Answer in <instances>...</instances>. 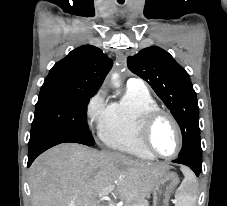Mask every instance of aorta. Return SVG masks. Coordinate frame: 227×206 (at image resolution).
<instances>
[{"label": "aorta", "mask_w": 227, "mask_h": 206, "mask_svg": "<svg viewBox=\"0 0 227 206\" xmlns=\"http://www.w3.org/2000/svg\"><path fill=\"white\" fill-rule=\"evenodd\" d=\"M118 74L117 73H114L113 75H112V80H113V83H114V86L115 87H119L120 86V84H119V82H118Z\"/></svg>", "instance_id": "obj_1"}]
</instances>
